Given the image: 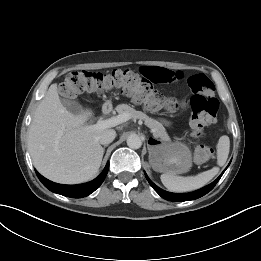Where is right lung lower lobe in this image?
I'll return each instance as SVG.
<instances>
[{
    "instance_id": "right-lung-lower-lobe-1",
    "label": "right lung lower lobe",
    "mask_w": 261,
    "mask_h": 261,
    "mask_svg": "<svg viewBox=\"0 0 261 261\" xmlns=\"http://www.w3.org/2000/svg\"><path fill=\"white\" fill-rule=\"evenodd\" d=\"M108 169H109V162L107 163L103 172L96 179H94L91 182L79 184V185L57 184L52 181H49L48 179L40 175L36 170L35 171L39 180L50 191L67 197L82 198L94 192L102 184V182L104 181L107 175Z\"/></svg>"
}]
</instances>
